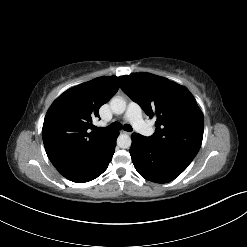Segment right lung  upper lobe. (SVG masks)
<instances>
[{"label":"right lung upper lobe","instance_id":"1","mask_svg":"<svg viewBox=\"0 0 247 247\" xmlns=\"http://www.w3.org/2000/svg\"><path fill=\"white\" fill-rule=\"evenodd\" d=\"M118 89V77H101L70 88L55 100L45 116L42 137L58 171L87 161L111 136L112 132L92 130V121Z\"/></svg>","mask_w":247,"mask_h":247}]
</instances>
